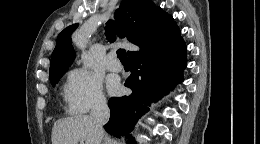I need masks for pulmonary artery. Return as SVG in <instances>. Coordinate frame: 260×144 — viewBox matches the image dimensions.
<instances>
[{
  "label": "pulmonary artery",
  "mask_w": 260,
  "mask_h": 144,
  "mask_svg": "<svg viewBox=\"0 0 260 144\" xmlns=\"http://www.w3.org/2000/svg\"><path fill=\"white\" fill-rule=\"evenodd\" d=\"M107 68L111 71H120L122 65L113 54H110L107 57Z\"/></svg>",
  "instance_id": "pulmonary-artery-1"
}]
</instances>
